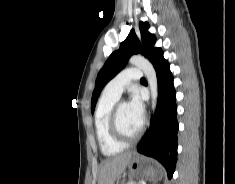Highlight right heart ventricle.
Segmentation results:
<instances>
[{"label":"right heart ventricle","instance_id":"e07e8e85","mask_svg":"<svg viewBox=\"0 0 235 184\" xmlns=\"http://www.w3.org/2000/svg\"><path fill=\"white\" fill-rule=\"evenodd\" d=\"M117 98L103 94L99 99L93 117L94 131L102 153L113 156L125 148V144L117 140L111 133L109 118Z\"/></svg>","mask_w":235,"mask_h":184}]
</instances>
